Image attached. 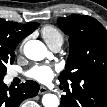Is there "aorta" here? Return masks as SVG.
Here are the masks:
<instances>
[{"label":"aorta","mask_w":107,"mask_h":107,"mask_svg":"<svg viewBox=\"0 0 107 107\" xmlns=\"http://www.w3.org/2000/svg\"><path fill=\"white\" fill-rule=\"evenodd\" d=\"M25 56L34 61L43 60L47 55L46 46L39 40H29L24 45ZM44 107H58L60 102L56 95L45 94L42 98Z\"/></svg>","instance_id":"aorta-1"}]
</instances>
